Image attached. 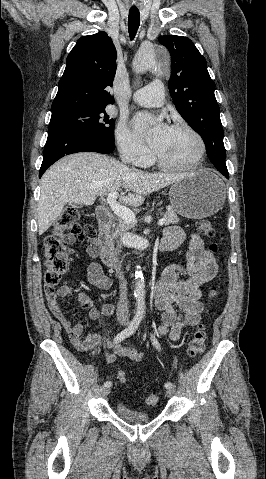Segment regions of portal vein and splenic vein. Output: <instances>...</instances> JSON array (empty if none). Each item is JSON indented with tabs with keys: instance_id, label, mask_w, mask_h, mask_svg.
I'll list each match as a JSON object with an SVG mask.
<instances>
[{
	"instance_id": "portal-vein-and-splenic-vein-1",
	"label": "portal vein and splenic vein",
	"mask_w": 266,
	"mask_h": 479,
	"mask_svg": "<svg viewBox=\"0 0 266 479\" xmlns=\"http://www.w3.org/2000/svg\"><path fill=\"white\" fill-rule=\"evenodd\" d=\"M117 196H118L117 192H111L108 194L107 203L109 204L111 210L125 222L135 224L136 223L135 214L129 208L117 203L116 201ZM165 223H166L165 218H162L158 221L159 226H162Z\"/></svg>"
}]
</instances>
